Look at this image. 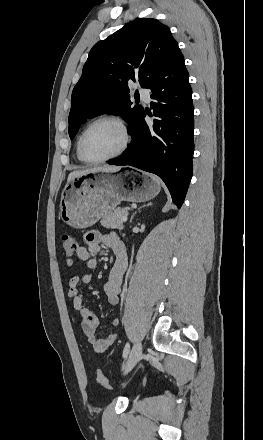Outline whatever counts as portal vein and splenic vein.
Instances as JSON below:
<instances>
[{"label":"portal vein and splenic vein","mask_w":263,"mask_h":440,"mask_svg":"<svg viewBox=\"0 0 263 440\" xmlns=\"http://www.w3.org/2000/svg\"><path fill=\"white\" fill-rule=\"evenodd\" d=\"M121 220H122L123 222H126V221H127V215L122 216V217H121Z\"/></svg>","instance_id":"1"}]
</instances>
